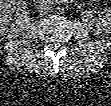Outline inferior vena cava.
Here are the masks:
<instances>
[{"mask_svg": "<svg viewBox=\"0 0 111 106\" xmlns=\"http://www.w3.org/2000/svg\"><path fill=\"white\" fill-rule=\"evenodd\" d=\"M50 12V7L46 3H41L38 6V13L41 15L48 14Z\"/></svg>", "mask_w": 111, "mask_h": 106, "instance_id": "obj_1", "label": "inferior vena cava"}]
</instances>
